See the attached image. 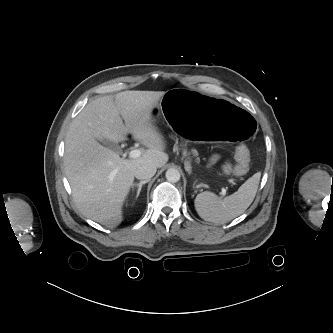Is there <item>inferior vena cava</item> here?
<instances>
[{
    "mask_svg": "<svg viewBox=\"0 0 333 333\" xmlns=\"http://www.w3.org/2000/svg\"><path fill=\"white\" fill-rule=\"evenodd\" d=\"M157 171V168L150 164H143L136 168L135 177L140 180H150Z\"/></svg>",
    "mask_w": 333,
    "mask_h": 333,
    "instance_id": "602c4592",
    "label": "inferior vena cava"
}]
</instances>
